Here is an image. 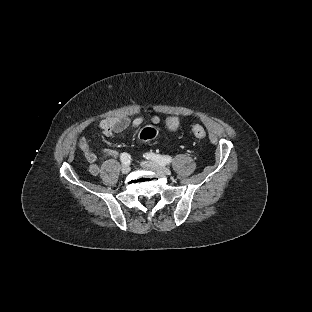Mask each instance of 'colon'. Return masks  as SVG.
Masks as SVG:
<instances>
[{
	"label": "colon",
	"instance_id": "5ec220e1",
	"mask_svg": "<svg viewBox=\"0 0 312 312\" xmlns=\"http://www.w3.org/2000/svg\"><path fill=\"white\" fill-rule=\"evenodd\" d=\"M177 126V120L175 118H170L166 122V127L168 129H174ZM192 131L195 133V135L202 139L204 138V128L200 124H194L192 126ZM157 134V130L154 127H145L140 132V138L142 140H151L153 139Z\"/></svg>",
	"mask_w": 312,
	"mask_h": 312
}]
</instances>
